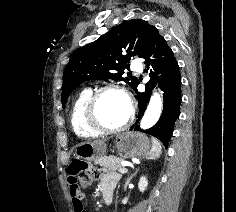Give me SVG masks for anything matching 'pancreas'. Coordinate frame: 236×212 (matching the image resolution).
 <instances>
[{
	"label": "pancreas",
	"mask_w": 236,
	"mask_h": 212,
	"mask_svg": "<svg viewBox=\"0 0 236 212\" xmlns=\"http://www.w3.org/2000/svg\"><path fill=\"white\" fill-rule=\"evenodd\" d=\"M122 161H123V158L121 157L108 156L98 161H95V164H99L100 166H102L103 172L109 173L116 170L119 171L123 167L121 165Z\"/></svg>",
	"instance_id": "obj_1"
}]
</instances>
